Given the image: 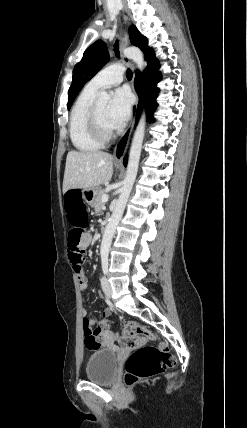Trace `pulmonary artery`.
I'll return each mask as SVG.
<instances>
[{
  "instance_id": "pulmonary-artery-1",
  "label": "pulmonary artery",
  "mask_w": 247,
  "mask_h": 428,
  "mask_svg": "<svg viewBox=\"0 0 247 428\" xmlns=\"http://www.w3.org/2000/svg\"><path fill=\"white\" fill-rule=\"evenodd\" d=\"M124 68L120 64L108 66L93 77L87 86L94 90H102L118 85L123 80Z\"/></svg>"
}]
</instances>
